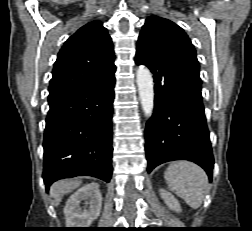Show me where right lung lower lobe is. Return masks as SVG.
Segmentation results:
<instances>
[{"mask_svg":"<svg viewBox=\"0 0 252 231\" xmlns=\"http://www.w3.org/2000/svg\"><path fill=\"white\" fill-rule=\"evenodd\" d=\"M114 75L50 103L44 133L43 179L47 189L62 178L112 175Z\"/></svg>","mask_w":252,"mask_h":231,"instance_id":"obj_1","label":"right lung lower lobe"}]
</instances>
